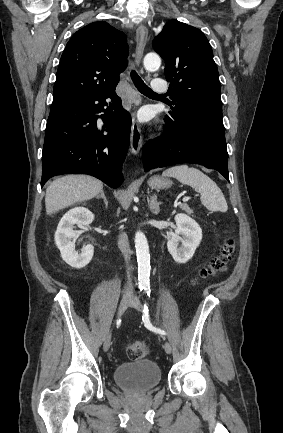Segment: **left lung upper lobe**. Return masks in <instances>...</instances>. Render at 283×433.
<instances>
[{
	"instance_id": "1",
	"label": "left lung upper lobe",
	"mask_w": 283,
	"mask_h": 433,
	"mask_svg": "<svg viewBox=\"0 0 283 433\" xmlns=\"http://www.w3.org/2000/svg\"><path fill=\"white\" fill-rule=\"evenodd\" d=\"M165 60V76L173 100L172 121L215 125L222 132L221 86L213 51L206 36L185 23L168 21L153 40Z\"/></svg>"
}]
</instances>
